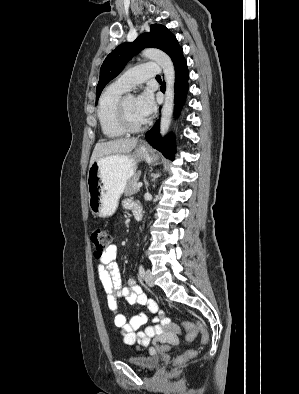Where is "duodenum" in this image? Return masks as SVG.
I'll list each match as a JSON object with an SVG mask.
<instances>
[{
	"mask_svg": "<svg viewBox=\"0 0 299 394\" xmlns=\"http://www.w3.org/2000/svg\"><path fill=\"white\" fill-rule=\"evenodd\" d=\"M135 219L138 221L142 219V211L140 209L135 210Z\"/></svg>",
	"mask_w": 299,
	"mask_h": 394,
	"instance_id": "obj_1",
	"label": "duodenum"
}]
</instances>
